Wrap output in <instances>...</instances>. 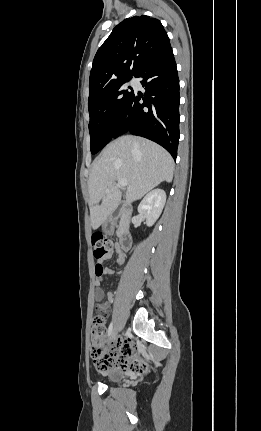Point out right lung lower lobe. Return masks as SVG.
I'll return each instance as SVG.
<instances>
[{
	"instance_id": "right-lung-lower-lobe-1",
	"label": "right lung lower lobe",
	"mask_w": 261,
	"mask_h": 431,
	"mask_svg": "<svg viewBox=\"0 0 261 431\" xmlns=\"http://www.w3.org/2000/svg\"><path fill=\"white\" fill-rule=\"evenodd\" d=\"M144 96L134 92L118 120L113 137L126 132L163 146L176 160L179 143V78L172 48L147 63L135 76ZM143 100L140 103V100Z\"/></svg>"
}]
</instances>
